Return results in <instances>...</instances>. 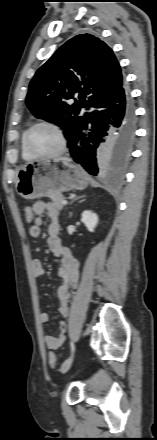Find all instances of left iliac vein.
I'll return each instance as SVG.
<instances>
[{
    "mask_svg": "<svg viewBox=\"0 0 157 440\" xmlns=\"http://www.w3.org/2000/svg\"><path fill=\"white\" fill-rule=\"evenodd\" d=\"M72 360H73V357H70L62 364V366H61L62 373H66L69 370V368L71 367V364H72Z\"/></svg>",
    "mask_w": 157,
    "mask_h": 440,
    "instance_id": "4c4485c4",
    "label": "left iliac vein"
}]
</instances>
